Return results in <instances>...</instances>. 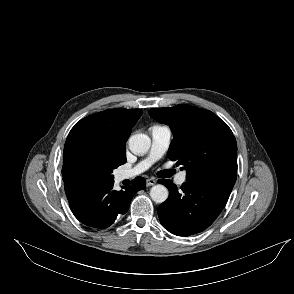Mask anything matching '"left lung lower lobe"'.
Listing matches in <instances>:
<instances>
[{
    "label": "left lung lower lobe",
    "instance_id": "0a47b994",
    "mask_svg": "<svg viewBox=\"0 0 294 294\" xmlns=\"http://www.w3.org/2000/svg\"><path fill=\"white\" fill-rule=\"evenodd\" d=\"M169 190V198L158 207L161 224L178 236L205 230L224 208L235 181L229 176L186 179L181 190L170 180H159Z\"/></svg>",
    "mask_w": 294,
    "mask_h": 294
}]
</instances>
